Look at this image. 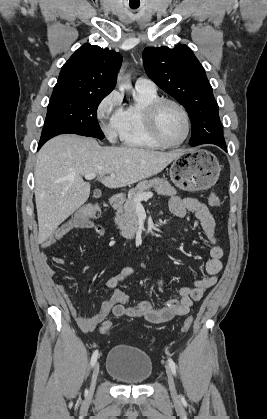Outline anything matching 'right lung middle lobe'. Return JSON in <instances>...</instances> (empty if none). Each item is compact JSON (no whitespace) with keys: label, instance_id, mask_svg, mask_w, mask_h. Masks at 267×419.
<instances>
[{"label":"right lung middle lobe","instance_id":"right-lung-middle-lobe-1","mask_svg":"<svg viewBox=\"0 0 267 419\" xmlns=\"http://www.w3.org/2000/svg\"><path fill=\"white\" fill-rule=\"evenodd\" d=\"M106 94H52L44 130L103 139L97 108Z\"/></svg>","mask_w":267,"mask_h":419}]
</instances>
